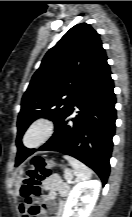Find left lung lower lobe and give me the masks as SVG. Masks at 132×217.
Listing matches in <instances>:
<instances>
[{
    "mask_svg": "<svg viewBox=\"0 0 132 217\" xmlns=\"http://www.w3.org/2000/svg\"><path fill=\"white\" fill-rule=\"evenodd\" d=\"M107 60L79 92L71 108L62 116L53 136L38 150L58 151L80 160L106 184L115 133L116 98ZM16 166L31 153L17 141Z\"/></svg>",
    "mask_w": 132,
    "mask_h": 217,
    "instance_id": "1",
    "label": "left lung lower lobe"
}]
</instances>
